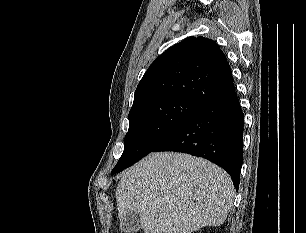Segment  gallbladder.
<instances>
[{
  "mask_svg": "<svg viewBox=\"0 0 306 233\" xmlns=\"http://www.w3.org/2000/svg\"><path fill=\"white\" fill-rule=\"evenodd\" d=\"M140 215L134 211L129 212L124 218L120 219V228L125 233H135L140 229Z\"/></svg>",
  "mask_w": 306,
  "mask_h": 233,
  "instance_id": "obj_1",
  "label": "gallbladder"
}]
</instances>
